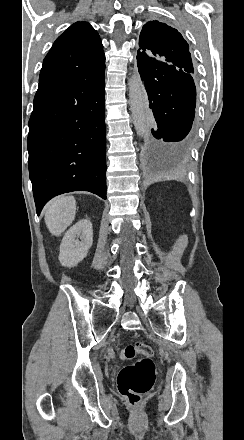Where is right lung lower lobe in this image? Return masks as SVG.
Returning a JSON list of instances; mask_svg holds the SVG:
<instances>
[{"label": "right lung lower lobe", "instance_id": "1", "mask_svg": "<svg viewBox=\"0 0 244 440\" xmlns=\"http://www.w3.org/2000/svg\"><path fill=\"white\" fill-rule=\"evenodd\" d=\"M105 63L39 81L29 120V174L39 215L56 195L106 199Z\"/></svg>", "mask_w": 244, "mask_h": 440}]
</instances>
